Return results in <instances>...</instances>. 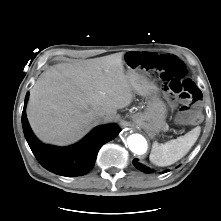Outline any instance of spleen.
<instances>
[{"label": "spleen", "mask_w": 221, "mask_h": 221, "mask_svg": "<svg viewBox=\"0 0 221 221\" xmlns=\"http://www.w3.org/2000/svg\"><path fill=\"white\" fill-rule=\"evenodd\" d=\"M201 128L195 127L184 136L170 140L165 144L154 142L150 153V161L157 166H169L183 158L195 144Z\"/></svg>", "instance_id": "3e777b00"}]
</instances>
